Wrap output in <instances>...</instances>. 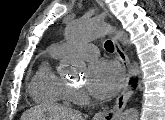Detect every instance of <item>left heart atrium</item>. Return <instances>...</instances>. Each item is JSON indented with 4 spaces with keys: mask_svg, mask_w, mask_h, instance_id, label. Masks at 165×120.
<instances>
[{
    "mask_svg": "<svg viewBox=\"0 0 165 120\" xmlns=\"http://www.w3.org/2000/svg\"><path fill=\"white\" fill-rule=\"evenodd\" d=\"M88 89L100 98L114 95L123 80L121 69L117 64L108 61H95L88 70Z\"/></svg>",
    "mask_w": 165,
    "mask_h": 120,
    "instance_id": "1",
    "label": "left heart atrium"
}]
</instances>
